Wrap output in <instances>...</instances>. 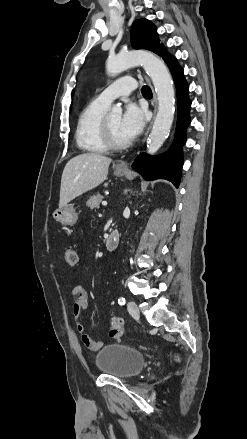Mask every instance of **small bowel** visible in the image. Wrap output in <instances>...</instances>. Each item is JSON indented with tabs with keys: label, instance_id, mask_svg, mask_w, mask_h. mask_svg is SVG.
Segmentation results:
<instances>
[{
	"label": "small bowel",
	"instance_id": "1",
	"mask_svg": "<svg viewBox=\"0 0 247 439\" xmlns=\"http://www.w3.org/2000/svg\"><path fill=\"white\" fill-rule=\"evenodd\" d=\"M72 295L75 298L73 306V314L77 320V331L80 334L82 343L91 351H97L104 346L103 341L92 339L91 335L85 331L83 323L80 321L81 315L88 308V295L84 287L80 283L74 284Z\"/></svg>",
	"mask_w": 247,
	"mask_h": 439
}]
</instances>
